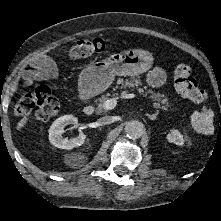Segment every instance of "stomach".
<instances>
[{
	"label": "stomach",
	"mask_w": 221,
	"mask_h": 221,
	"mask_svg": "<svg viewBox=\"0 0 221 221\" xmlns=\"http://www.w3.org/2000/svg\"><path fill=\"white\" fill-rule=\"evenodd\" d=\"M153 65V56L146 50L130 49L94 62L85 67L78 80L80 93L85 97L105 91L118 76H137Z\"/></svg>",
	"instance_id": "1"
}]
</instances>
